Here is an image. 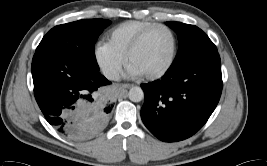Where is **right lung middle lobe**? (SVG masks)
I'll list each match as a JSON object with an SVG mask.
<instances>
[{"label":"right lung middle lobe","mask_w":267,"mask_h":166,"mask_svg":"<svg viewBox=\"0 0 267 166\" xmlns=\"http://www.w3.org/2000/svg\"><path fill=\"white\" fill-rule=\"evenodd\" d=\"M110 23L104 19H84L58 25L43 37L36 52L54 50L99 70L94 44L102 30Z\"/></svg>","instance_id":"1"}]
</instances>
